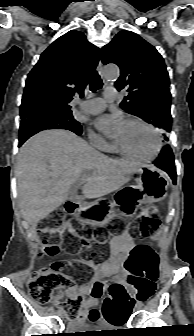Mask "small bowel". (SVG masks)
<instances>
[{"label":"small bowel","mask_w":194,"mask_h":336,"mask_svg":"<svg viewBox=\"0 0 194 336\" xmlns=\"http://www.w3.org/2000/svg\"><path fill=\"white\" fill-rule=\"evenodd\" d=\"M135 249L136 245L128 232H123L113 237L109 246V258L102 263H92V278L72 291L59 293L57 297L58 303L64 296H70L75 293L86 297L83 301V311L77 321L88 322L90 325L96 326L101 321V317L97 308L98 299L91 295V291L95 286L101 285L104 280L117 277L119 270L130 260ZM155 269L157 274H159V263L156 255ZM127 289L129 294L137 296L150 291L152 285H148L140 276L134 284L127 285Z\"/></svg>","instance_id":"obj_1"}]
</instances>
